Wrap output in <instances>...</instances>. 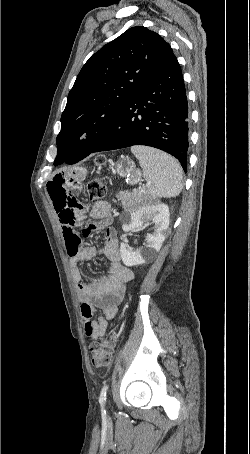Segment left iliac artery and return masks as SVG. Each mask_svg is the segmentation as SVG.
<instances>
[{
    "label": "left iliac artery",
    "mask_w": 250,
    "mask_h": 454,
    "mask_svg": "<svg viewBox=\"0 0 250 454\" xmlns=\"http://www.w3.org/2000/svg\"><path fill=\"white\" fill-rule=\"evenodd\" d=\"M108 388H109V386L107 384H105L103 386V388L101 389L100 396H99V402L101 404H105V402H106Z\"/></svg>",
    "instance_id": "1"
}]
</instances>
